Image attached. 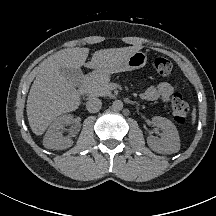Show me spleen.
I'll list each match as a JSON object with an SVG mask.
<instances>
[{
    "mask_svg": "<svg viewBox=\"0 0 216 216\" xmlns=\"http://www.w3.org/2000/svg\"><path fill=\"white\" fill-rule=\"evenodd\" d=\"M195 119H196V112H195V110H193V112H192V123L193 124L195 123Z\"/></svg>",
    "mask_w": 216,
    "mask_h": 216,
    "instance_id": "3e777b00",
    "label": "spleen"
}]
</instances>
